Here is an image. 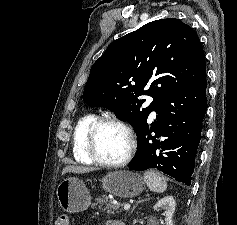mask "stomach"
I'll use <instances>...</instances> for the list:
<instances>
[{
	"instance_id": "obj_1",
	"label": "stomach",
	"mask_w": 237,
	"mask_h": 225,
	"mask_svg": "<svg viewBox=\"0 0 237 225\" xmlns=\"http://www.w3.org/2000/svg\"><path fill=\"white\" fill-rule=\"evenodd\" d=\"M101 182L105 191L120 198L137 196L142 192L144 186L142 178L137 173L123 170L107 173ZM56 194L61 208L70 213L86 210L91 202L89 190L76 177L61 181Z\"/></svg>"
}]
</instances>
